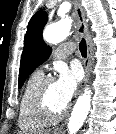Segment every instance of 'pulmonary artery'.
Returning <instances> with one entry per match:
<instances>
[{
    "label": "pulmonary artery",
    "mask_w": 116,
    "mask_h": 134,
    "mask_svg": "<svg viewBox=\"0 0 116 134\" xmlns=\"http://www.w3.org/2000/svg\"><path fill=\"white\" fill-rule=\"evenodd\" d=\"M75 50V45L73 43H65L57 48L55 51L56 58H65L71 55ZM43 72L42 70H40Z\"/></svg>",
    "instance_id": "1"
}]
</instances>
